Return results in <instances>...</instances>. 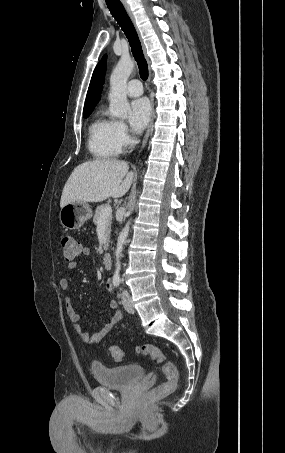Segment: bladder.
Listing matches in <instances>:
<instances>
[{
    "label": "bladder",
    "mask_w": 285,
    "mask_h": 453,
    "mask_svg": "<svg viewBox=\"0 0 285 453\" xmlns=\"http://www.w3.org/2000/svg\"><path fill=\"white\" fill-rule=\"evenodd\" d=\"M90 370L98 384L119 389L128 388L145 376V369L139 364L108 367L94 362Z\"/></svg>",
    "instance_id": "1"
}]
</instances>
